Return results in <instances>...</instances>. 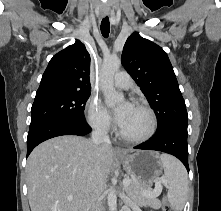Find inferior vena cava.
<instances>
[{"instance_id":"602c4592","label":"inferior vena cava","mask_w":221,"mask_h":211,"mask_svg":"<svg viewBox=\"0 0 221 211\" xmlns=\"http://www.w3.org/2000/svg\"><path fill=\"white\" fill-rule=\"evenodd\" d=\"M92 142L98 147H110L111 142L108 136L107 126L99 123L92 132ZM104 190L103 178L99 177L94 185L90 199V211H103L102 193Z\"/></svg>"}]
</instances>
